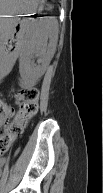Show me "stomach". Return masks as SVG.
I'll use <instances>...</instances> for the list:
<instances>
[{
  "label": "stomach",
  "instance_id": "1",
  "mask_svg": "<svg viewBox=\"0 0 103 193\" xmlns=\"http://www.w3.org/2000/svg\"><path fill=\"white\" fill-rule=\"evenodd\" d=\"M38 0H0V11L4 21L8 17L22 13H30L36 10Z\"/></svg>",
  "mask_w": 103,
  "mask_h": 193
}]
</instances>
